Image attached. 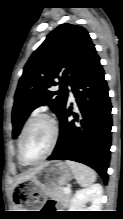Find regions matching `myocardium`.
Here are the masks:
<instances>
[{"label": "myocardium", "mask_w": 123, "mask_h": 219, "mask_svg": "<svg viewBox=\"0 0 123 219\" xmlns=\"http://www.w3.org/2000/svg\"><path fill=\"white\" fill-rule=\"evenodd\" d=\"M38 120H44L46 121L50 128H51V132H52V136H51V141L49 144V147L47 149V151L45 152V154L38 160L36 161H28L23 154V142L25 139V136L30 128V126L38 121ZM58 137H59V127L58 124L56 122V120L49 114L47 113H37L35 115H33L26 123V125L24 126V129L21 133L20 139H19V143H18V155L20 160L28 166H32V165H37L39 163H41L42 161H44L48 156H50V154L52 153V151L54 150L57 141H58Z\"/></svg>", "instance_id": "obj_1"}]
</instances>
